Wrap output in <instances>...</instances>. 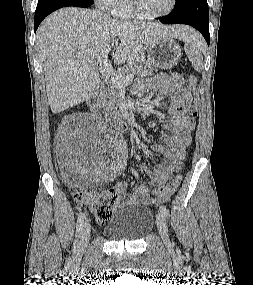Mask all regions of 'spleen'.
<instances>
[{
  "label": "spleen",
  "instance_id": "3e777b00",
  "mask_svg": "<svg viewBox=\"0 0 253 285\" xmlns=\"http://www.w3.org/2000/svg\"><path fill=\"white\" fill-rule=\"evenodd\" d=\"M185 40V52L192 63L193 68L197 72H201L204 68L203 56L201 51L205 48L202 37L194 30L187 34Z\"/></svg>",
  "mask_w": 253,
  "mask_h": 285
}]
</instances>
